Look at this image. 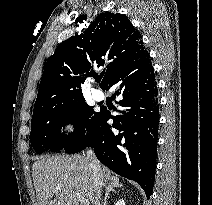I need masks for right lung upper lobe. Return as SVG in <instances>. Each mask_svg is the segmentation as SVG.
Here are the masks:
<instances>
[{"mask_svg": "<svg viewBox=\"0 0 212 205\" xmlns=\"http://www.w3.org/2000/svg\"><path fill=\"white\" fill-rule=\"evenodd\" d=\"M145 52L140 32L125 15L101 13L80 35L60 43L48 59L34 110L84 99L81 86L86 76L105 65L100 84L104 89L122 67Z\"/></svg>", "mask_w": 212, "mask_h": 205, "instance_id": "1", "label": "right lung upper lobe"}]
</instances>
